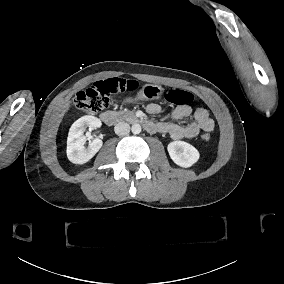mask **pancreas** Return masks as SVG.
Returning a JSON list of instances; mask_svg holds the SVG:
<instances>
[{
    "label": "pancreas",
    "instance_id": "cf45deb5",
    "mask_svg": "<svg viewBox=\"0 0 284 284\" xmlns=\"http://www.w3.org/2000/svg\"><path fill=\"white\" fill-rule=\"evenodd\" d=\"M114 114L119 118V120H126V121H130L132 119H135L136 116L134 114L133 111H118V112H114Z\"/></svg>",
    "mask_w": 284,
    "mask_h": 284
}]
</instances>
